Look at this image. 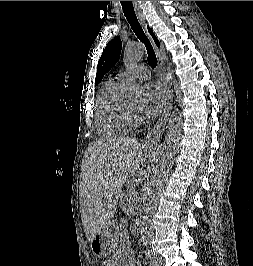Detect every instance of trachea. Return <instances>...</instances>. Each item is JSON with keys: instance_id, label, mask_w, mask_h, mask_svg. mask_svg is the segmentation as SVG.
<instances>
[{"instance_id": "1", "label": "trachea", "mask_w": 253, "mask_h": 266, "mask_svg": "<svg viewBox=\"0 0 253 266\" xmlns=\"http://www.w3.org/2000/svg\"><path fill=\"white\" fill-rule=\"evenodd\" d=\"M123 9V13L129 22L132 30L134 31L137 38L145 45L147 54H148V62L151 67L157 66V58L155 55V52L153 50V47L149 41V39L146 37L142 27L140 26L137 16L134 11V7L132 4V1H120Z\"/></svg>"}]
</instances>
